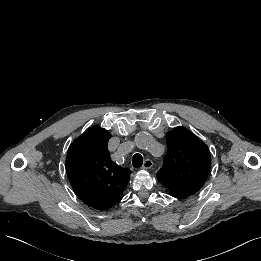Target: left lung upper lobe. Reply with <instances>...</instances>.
<instances>
[{
  "label": "left lung upper lobe",
  "instance_id": "5c2ea615",
  "mask_svg": "<svg viewBox=\"0 0 261 261\" xmlns=\"http://www.w3.org/2000/svg\"><path fill=\"white\" fill-rule=\"evenodd\" d=\"M168 151L157 178L172 196L182 198L201 189L210 171V151L188 129L179 126L167 133Z\"/></svg>",
  "mask_w": 261,
  "mask_h": 261
}]
</instances>
